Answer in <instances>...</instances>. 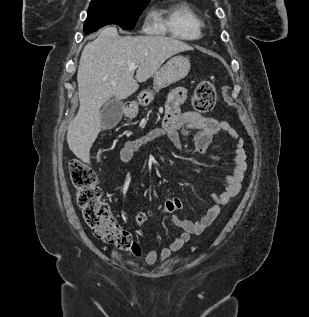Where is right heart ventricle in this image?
I'll return each instance as SVG.
<instances>
[{"label":"right heart ventricle","mask_w":309,"mask_h":317,"mask_svg":"<svg viewBox=\"0 0 309 317\" xmlns=\"http://www.w3.org/2000/svg\"><path fill=\"white\" fill-rule=\"evenodd\" d=\"M161 24L176 37L194 40L201 36L203 21L188 5H178L170 10Z\"/></svg>","instance_id":"obj_1"}]
</instances>
